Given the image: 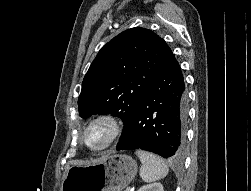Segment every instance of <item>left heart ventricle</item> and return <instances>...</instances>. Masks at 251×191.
<instances>
[{
  "instance_id": "obj_1",
  "label": "left heart ventricle",
  "mask_w": 251,
  "mask_h": 191,
  "mask_svg": "<svg viewBox=\"0 0 251 191\" xmlns=\"http://www.w3.org/2000/svg\"><path fill=\"white\" fill-rule=\"evenodd\" d=\"M109 140V128L103 122L89 126L82 134L83 144L94 151L102 149Z\"/></svg>"
}]
</instances>
